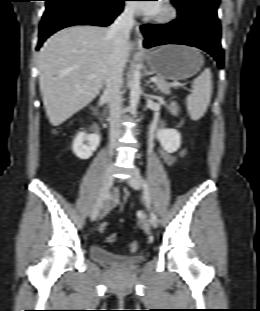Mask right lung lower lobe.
Returning a JSON list of instances; mask_svg holds the SVG:
<instances>
[{
	"mask_svg": "<svg viewBox=\"0 0 260 311\" xmlns=\"http://www.w3.org/2000/svg\"><path fill=\"white\" fill-rule=\"evenodd\" d=\"M37 50L50 35L72 25L108 26L123 10L124 0H45Z\"/></svg>",
	"mask_w": 260,
	"mask_h": 311,
	"instance_id": "right-lung-lower-lobe-1",
	"label": "right lung lower lobe"
}]
</instances>
